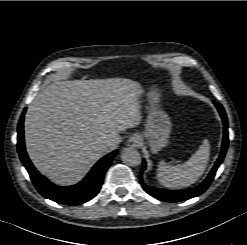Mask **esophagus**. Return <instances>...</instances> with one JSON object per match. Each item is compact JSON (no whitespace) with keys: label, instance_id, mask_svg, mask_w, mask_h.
Instances as JSON below:
<instances>
[{"label":"esophagus","instance_id":"34e87169","mask_svg":"<svg viewBox=\"0 0 247 245\" xmlns=\"http://www.w3.org/2000/svg\"><path fill=\"white\" fill-rule=\"evenodd\" d=\"M141 143V138L138 134H133L127 141V145L130 147H138Z\"/></svg>","mask_w":247,"mask_h":245}]
</instances>
